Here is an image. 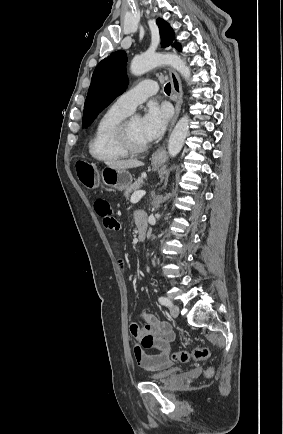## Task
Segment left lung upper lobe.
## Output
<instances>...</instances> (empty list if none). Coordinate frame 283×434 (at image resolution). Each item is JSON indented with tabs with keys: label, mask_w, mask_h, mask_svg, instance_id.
Returning <instances> with one entry per match:
<instances>
[{
	"label": "left lung upper lobe",
	"mask_w": 283,
	"mask_h": 434,
	"mask_svg": "<svg viewBox=\"0 0 283 434\" xmlns=\"http://www.w3.org/2000/svg\"><path fill=\"white\" fill-rule=\"evenodd\" d=\"M163 48L172 45L181 51L179 43L174 42V32L170 25L161 18L156 21ZM127 57L124 51H116L103 59L94 70L83 112V127L87 128L97 115L107 107L128 86L126 76Z\"/></svg>",
	"instance_id": "obj_1"
}]
</instances>
